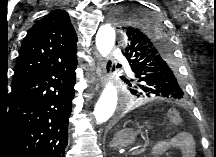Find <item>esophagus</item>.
I'll return each instance as SVG.
<instances>
[{"mask_svg": "<svg viewBox=\"0 0 216 157\" xmlns=\"http://www.w3.org/2000/svg\"><path fill=\"white\" fill-rule=\"evenodd\" d=\"M103 68H104L103 63L100 61V59H98L97 68H96V75L98 81L102 79Z\"/></svg>", "mask_w": 216, "mask_h": 157, "instance_id": "esophagus-1", "label": "esophagus"}]
</instances>
